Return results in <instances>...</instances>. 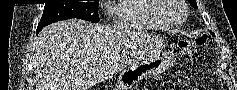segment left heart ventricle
I'll use <instances>...</instances> for the list:
<instances>
[{"mask_svg":"<svg viewBox=\"0 0 237 90\" xmlns=\"http://www.w3.org/2000/svg\"><path fill=\"white\" fill-rule=\"evenodd\" d=\"M182 17V13H172L171 16H168L167 19H163V21L170 26L177 24Z\"/></svg>","mask_w":237,"mask_h":90,"instance_id":"left-heart-ventricle-1","label":"left heart ventricle"}]
</instances>
